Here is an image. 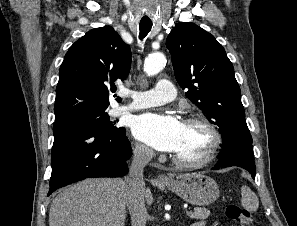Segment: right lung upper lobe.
<instances>
[{
	"label": "right lung upper lobe",
	"mask_w": 297,
	"mask_h": 226,
	"mask_svg": "<svg viewBox=\"0 0 297 226\" xmlns=\"http://www.w3.org/2000/svg\"><path fill=\"white\" fill-rule=\"evenodd\" d=\"M130 67L131 49L112 27L87 32L70 47L61 64L55 120L83 111L107 110L109 92L116 91V82L126 79Z\"/></svg>",
	"instance_id": "1"
}]
</instances>
